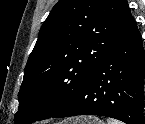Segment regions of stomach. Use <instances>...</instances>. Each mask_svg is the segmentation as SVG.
Wrapping results in <instances>:
<instances>
[{
	"label": "stomach",
	"instance_id": "1",
	"mask_svg": "<svg viewBox=\"0 0 145 124\" xmlns=\"http://www.w3.org/2000/svg\"><path fill=\"white\" fill-rule=\"evenodd\" d=\"M68 121L71 122L70 124H104L102 121H100L95 117H78L75 119H70ZM61 124H67V123H61Z\"/></svg>",
	"mask_w": 145,
	"mask_h": 124
}]
</instances>
